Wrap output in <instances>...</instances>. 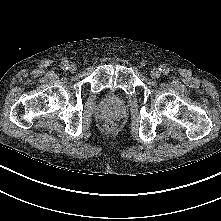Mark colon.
Wrapping results in <instances>:
<instances>
[{"mask_svg":"<svg viewBox=\"0 0 221 221\" xmlns=\"http://www.w3.org/2000/svg\"><path fill=\"white\" fill-rule=\"evenodd\" d=\"M115 127V124L112 122V121H109L105 124V128L108 130V131H111L113 130Z\"/></svg>","mask_w":221,"mask_h":221,"instance_id":"5ec220e1","label":"colon"}]
</instances>
